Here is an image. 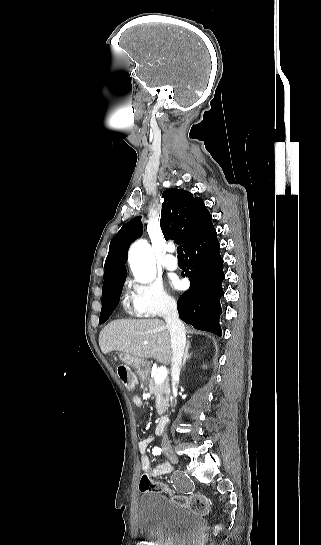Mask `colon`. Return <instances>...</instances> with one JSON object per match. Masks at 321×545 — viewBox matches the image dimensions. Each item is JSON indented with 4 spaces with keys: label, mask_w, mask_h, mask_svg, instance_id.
<instances>
[{
    "label": "colon",
    "mask_w": 321,
    "mask_h": 545,
    "mask_svg": "<svg viewBox=\"0 0 321 545\" xmlns=\"http://www.w3.org/2000/svg\"><path fill=\"white\" fill-rule=\"evenodd\" d=\"M117 373L124 386L131 390L135 386V377L132 371L126 366L120 365ZM139 488L142 492L159 491L167 492V487L159 482H155L148 473H144L140 479ZM174 501L186 506L198 513L206 514L210 509L209 499L202 494H192L190 496H174Z\"/></svg>",
    "instance_id": "5ec220e1"
}]
</instances>
